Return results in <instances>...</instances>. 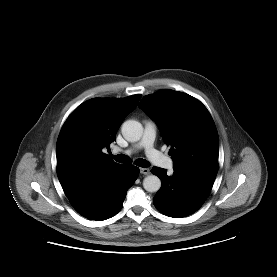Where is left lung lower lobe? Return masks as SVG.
Masks as SVG:
<instances>
[{
  "instance_id": "1",
  "label": "left lung lower lobe",
  "mask_w": 277,
  "mask_h": 277,
  "mask_svg": "<svg viewBox=\"0 0 277 277\" xmlns=\"http://www.w3.org/2000/svg\"><path fill=\"white\" fill-rule=\"evenodd\" d=\"M151 172L161 179L162 186L153 198L155 207L167 216L180 218L198 210L204 203L215 181L210 173H187L154 167Z\"/></svg>"
}]
</instances>
